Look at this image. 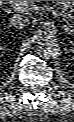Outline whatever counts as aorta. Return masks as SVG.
<instances>
[{
	"label": "aorta",
	"mask_w": 74,
	"mask_h": 122,
	"mask_svg": "<svg viewBox=\"0 0 74 122\" xmlns=\"http://www.w3.org/2000/svg\"><path fill=\"white\" fill-rule=\"evenodd\" d=\"M57 40L51 35H43L38 40V52L46 59L52 58L59 54Z\"/></svg>",
	"instance_id": "aorta-1"
}]
</instances>
